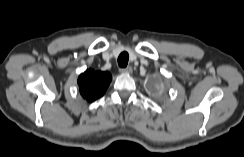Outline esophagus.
<instances>
[{
  "mask_svg": "<svg viewBox=\"0 0 244 157\" xmlns=\"http://www.w3.org/2000/svg\"><path fill=\"white\" fill-rule=\"evenodd\" d=\"M119 71H120L121 73H127V74H130V73H132V68H131L130 66H128V67H126V68H121V69H119Z\"/></svg>",
  "mask_w": 244,
  "mask_h": 157,
  "instance_id": "1",
  "label": "esophagus"
}]
</instances>
